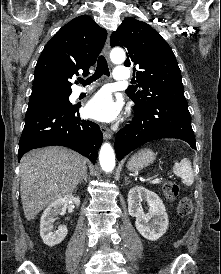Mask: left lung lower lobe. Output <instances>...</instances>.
Here are the masks:
<instances>
[{"instance_id":"left-lung-lower-lobe-1","label":"left lung lower lobe","mask_w":221,"mask_h":274,"mask_svg":"<svg viewBox=\"0 0 221 274\" xmlns=\"http://www.w3.org/2000/svg\"><path fill=\"white\" fill-rule=\"evenodd\" d=\"M134 113L132 122L116 134L114 148L118 160L139 146L161 138L181 139L196 149L186 100L136 105Z\"/></svg>"}]
</instances>
